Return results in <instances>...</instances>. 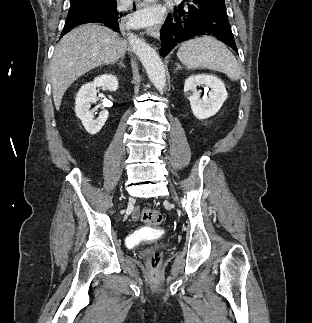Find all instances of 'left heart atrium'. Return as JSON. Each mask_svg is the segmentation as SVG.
Here are the masks:
<instances>
[{"instance_id":"39dd6f15","label":"left heart atrium","mask_w":312,"mask_h":323,"mask_svg":"<svg viewBox=\"0 0 312 323\" xmlns=\"http://www.w3.org/2000/svg\"><path fill=\"white\" fill-rule=\"evenodd\" d=\"M133 2H134V3H138V2H139V0H133ZM140 2H141V3H144V2H145V3H148V2H149V0H140Z\"/></svg>"}]
</instances>
